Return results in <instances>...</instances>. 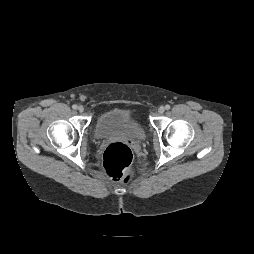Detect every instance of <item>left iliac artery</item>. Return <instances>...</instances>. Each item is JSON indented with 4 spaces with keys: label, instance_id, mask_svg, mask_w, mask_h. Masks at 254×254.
<instances>
[{
    "label": "left iliac artery",
    "instance_id": "left-iliac-artery-1",
    "mask_svg": "<svg viewBox=\"0 0 254 254\" xmlns=\"http://www.w3.org/2000/svg\"><path fill=\"white\" fill-rule=\"evenodd\" d=\"M165 109H166V110H169V109H170V105H166V106H165Z\"/></svg>",
    "mask_w": 254,
    "mask_h": 254
}]
</instances>
